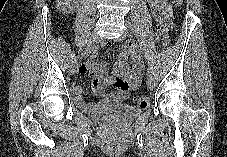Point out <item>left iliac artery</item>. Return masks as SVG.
<instances>
[{
    "label": "left iliac artery",
    "instance_id": "obj_1",
    "mask_svg": "<svg viewBox=\"0 0 227 157\" xmlns=\"http://www.w3.org/2000/svg\"><path fill=\"white\" fill-rule=\"evenodd\" d=\"M130 29L132 31H135L136 32L137 31V26H131L130 25ZM147 75H148V77L152 75V71H151V68L150 67H148V69H147Z\"/></svg>",
    "mask_w": 227,
    "mask_h": 157
}]
</instances>
